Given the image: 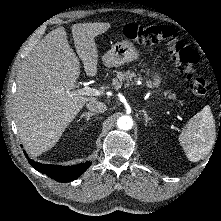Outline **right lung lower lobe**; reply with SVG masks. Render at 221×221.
I'll return each instance as SVG.
<instances>
[{"label": "right lung lower lobe", "mask_w": 221, "mask_h": 221, "mask_svg": "<svg viewBox=\"0 0 221 221\" xmlns=\"http://www.w3.org/2000/svg\"><path fill=\"white\" fill-rule=\"evenodd\" d=\"M28 161L34 169L58 182H69L76 179L91 165L89 161L73 166L41 164L31 159H28Z\"/></svg>", "instance_id": "1"}]
</instances>
